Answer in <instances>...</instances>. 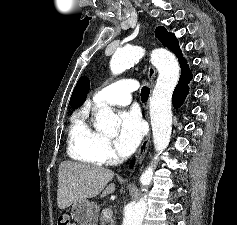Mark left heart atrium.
<instances>
[{"mask_svg":"<svg viewBox=\"0 0 237 225\" xmlns=\"http://www.w3.org/2000/svg\"><path fill=\"white\" fill-rule=\"evenodd\" d=\"M143 122L138 112L126 111L120 116L119 132L115 139L117 151L130 155L138 147L143 136Z\"/></svg>","mask_w":237,"mask_h":225,"instance_id":"39dd6f15","label":"left heart atrium"}]
</instances>
